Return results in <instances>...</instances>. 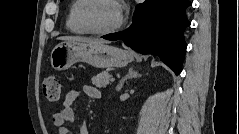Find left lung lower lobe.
<instances>
[{
    "instance_id": "obj_1",
    "label": "left lung lower lobe",
    "mask_w": 239,
    "mask_h": 134,
    "mask_svg": "<svg viewBox=\"0 0 239 134\" xmlns=\"http://www.w3.org/2000/svg\"><path fill=\"white\" fill-rule=\"evenodd\" d=\"M189 0H146L136 6L133 22L125 31L102 38L123 40L141 54H152L179 75L186 50L184 30L190 25L185 10Z\"/></svg>"
}]
</instances>
